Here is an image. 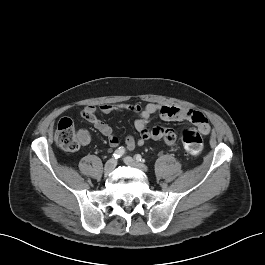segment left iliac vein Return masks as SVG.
I'll use <instances>...</instances> for the list:
<instances>
[{"mask_svg": "<svg viewBox=\"0 0 265 265\" xmlns=\"http://www.w3.org/2000/svg\"><path fill=\"white\" fill-rule=\"evenodd\" d=\"M124 163L129 165V166H132V167H135V168H138L140 170H142L143 172H147L148 171V168L146 165L142 164V163H139L137 161H135L132 157L130 156H127L125 157L124 159Z\"/></svg>", "mask_w": 265, "mask_h": 265, "instance_id": "left-iliac-vein-1", "label": "left iliac vein"}]
</instances>
